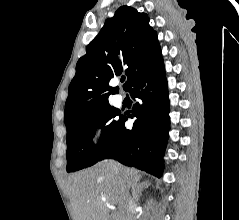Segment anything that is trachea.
Here are the masks:
<instances>
[{"label":"trachea","instance_id":"3493384b","mask_svg":"<svg viewBox=\"0 0 239 220\" xmlns=\"http://www.w3.org/2000/svg\"><path fill=\"white\" fill-rule=\"evenodd\" d=\"M124 80H125V79H124V78H122V79H121V82H124Z\"/></svg>","mask_w":239,"mask_h":220}]
</instances>
